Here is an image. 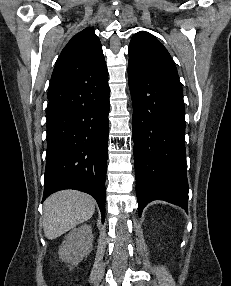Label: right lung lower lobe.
<instances>
[{
	"mask_svg": "<svg viewBox=\"0 0 231 286\" xmlns=\"http://www.w3.org/2000/svg\"><path fill=\"white\" fill-rule=\"evenodd\" d=\"M109 108L108 72L49 100L43 200L62 189L86 192L104 221Z\"/></svg>",
	"mask_w": 231,
	"mask_h": 286,
	"instance_id": "right-lung-lower-lobe-1",
	"label": "right lung lower lobe"
}]
</instances>
